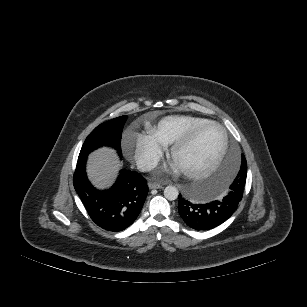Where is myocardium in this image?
<instances>
[{
	"label": "myocardium",
	"instance_id": "f54148a6",
	"mask_svg": "<svg viewBox=\"0 0 307 307\" xmlns=\"http://www.w3.org/2000/svg\"><path fill=\"white\" fill-rule=\"evenodd\" d=\"M208 126H216L217 128L220 129L221 134H222V138H223L221 148H220L219 152L217 153V155L215 156V158L213 159V161L208 166H206L202 169L193 170V171L182 170L183 174L188 178H193V179L204 178V177L210 175L218 167V165L222 161L224 155L226 154V151H227L228 145H229V136H228L226 129L219 122L209 120L207 122L199 124V125L193 127L192 129H190L185 135H183L180 139H178L176 142H174L171 149H170V157H171L172 160H174L175 155L181 149L188 146L193 141V139L196 137V135L201 130H203L204 128H206Z\"/></svg>",
	"mask_w": 307,
	"mask_h": 307
}]
</instances>
